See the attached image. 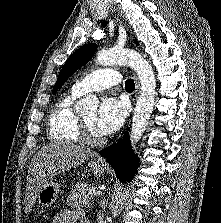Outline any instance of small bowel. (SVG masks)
Segmentation results:
<instances>
[{
  "label": "small bowel",
  "mask_w": 221,
  "mask_h": 223,
  "mask_svg": "<svg viewBox=\"0 0 221 223\" xmlns=\"http://www.w3.org/2000/svg\"><path fill=\"white\" fill-rule=\"evenodd\" d=\"M78 220L82 223H86L85 217L81 212L63 209L54 214L51 223H75Z\"/></svg>",
  "instance_id": "obj_1"
}]
</instances>
